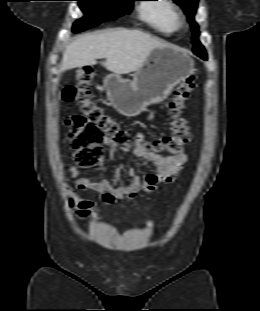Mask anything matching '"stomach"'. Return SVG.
<instances>
[{
	"label": "stomach",
	"instance_id": "1",
	"mask_svg": "<svg viewBox=\"0 0 260 311\" xmlns=\"http://www.w3.org/2000/svg\"><path fill=\"white\" fill-rule=\"evenodd\" d=\"M194 72V60L186 51L167 45L151 51L132 81L112 73L105 77L104 87L113 107L122 115L133 117L148 105L165 100Z\"/></svg>",
	"mask_w": 260,
	"mask_h": 311
}]
</instances>
